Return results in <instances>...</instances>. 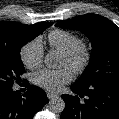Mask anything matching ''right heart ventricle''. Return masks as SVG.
<instances>
[{
	"label": "right heart ventricle",
	"instance_id": "right-heart-ventricle-1",
	"mask_svg": "<svg viewBox=\"0 0 119 119\" xmlns=\"http://www.w3.org/2000/svg\"><path fill=\"white\" fill-rule=\"evenodd\" d=\"M79 41L80 38L78 35L62 29L53 30L48 35V43L50 47L61 53L69 50Z\"/></svg>",
	"mask_w": 119,
	"mask_h": 119
}]
</instances>
